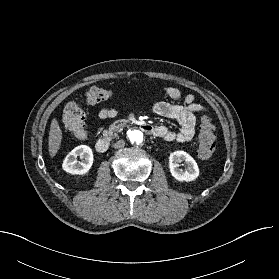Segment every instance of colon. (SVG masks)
Masks as SVG:
<instances>
[{"label": "colon", "mask_w": 279, "mask_h": 279, "mask_svg": "<svg viewBox=\"0 0 279 279\" xmlns=\"http://www.w3.org/2000/svg\"><path fill=\"white\" fill-rule=\"evenodd\" d=\"M111 96L112 93L108 89L93 86L86 91L85 100L88 104L94 105L109 99ZM62 121L65 127L78 139L85 140L88 138L85 127V113L77 103L69 102L65 105ZM198 141V156L201 159L211 158L215 151V133L214 126L208 117H203L201 120Z\"/></svg>", "instance_id": "5ec220e1"}]
</instances>
